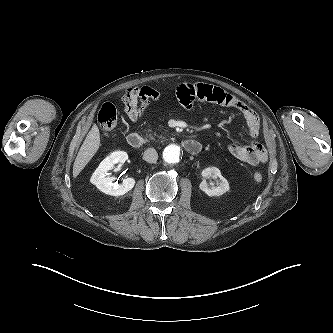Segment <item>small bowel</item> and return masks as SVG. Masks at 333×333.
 Returning <instances> with one entry per match:
<instances>
[{
	"label": "small bowel",
	"mask_w": 333,
	"mask_h": 333,
	"mask_svg": "<svg viewBox=\"0 0 333 333\" xmlns=\"http://www.w3.org/2000/svg\"><path fill=\"white\" fill-rule=\"evenodd\" d=\"M176 95L187 108H191L195 101H200L235 109L245 120L249 136L254 139L259 134L260 120L257 113L243 101L219 87L188 82L177 87ZM161 98V92L149 86L130 88L122 98L124 112L131 122H137L144 115L150 101H158ZM228 151L236 159L251 166L268 160L266 148L257 142L248 145L231 144L228 146Z\"/></svg>",
	"instance_id": "c3829d8e"
}]
</instances>
